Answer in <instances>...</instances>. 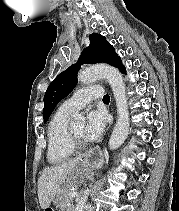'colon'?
Listing matches in <instances>:
<instances>
[{
	"label": "colon",
	"mask_w": 179,
	"mask_h": 211,
	"mask_svg": "<svg viewBox=\"0 0 179 211\" xmlns=\"http://www.w3.org/2000/svg\"><path fill=\"white\" fill-rule=\"evenodd\" d=\"M46 211H53L52 209H50V208H48V209H46Z\"/></svg>",
	"instance_id": "1"
}]
</instances>
